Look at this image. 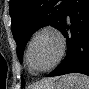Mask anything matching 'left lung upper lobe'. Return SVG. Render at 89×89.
<instances>
[{
    "label": "left lung upper lobe",
    "mask_w": 89,
    "mask_h": 89,
    "mask_svg": "<svg viewBox=\"0 0 89 89\" xmlns=\"http://www.w3.org/2000/svg\"><path fill=\"white\" fill-rule=\"evenodd\" d=\"M70 0H10L12 33L17 43V55L22 62L23 50L32 34L51 25L62 29ZM25 82L22 78V87Z\"/></svg>",
    "instance_id": "5c2ea615"
}]
</instances>
